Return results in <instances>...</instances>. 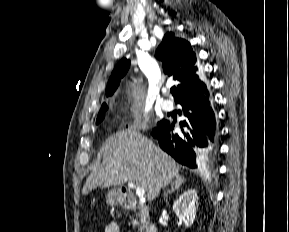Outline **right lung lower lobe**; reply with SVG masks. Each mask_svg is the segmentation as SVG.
<instances>
[{
	"label": "right lung lower lobe",
	"instance_id": "1",
	"mask_svg": "<svg viewBox=\"0 0 289 232\" xmlns=\"http://www.w3.org/2000/svg\"><path fill=\"white\" fill-rule=\"evenodd\" d=\"M209 92L183 98L178 103L187 119L182 133L173 132V124L162 121L152 131L160 147L176 161L190 168H198L214 160L218 150V125Z\"/></svg>",
	"mask_w": 289,
	"mask_h": 232
}]
</instances>
